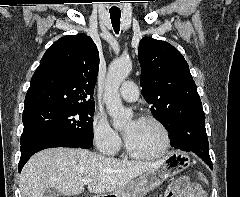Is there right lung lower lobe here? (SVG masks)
I'll return each instance as SVG.
<instances>
[{"mask_svg":"<svg viewBox=\"0 0 240 197\" xmlns=\"http://www.w3.org/2000/svg\"><path fill=\"white\" fill-rule=\"evenodd\" d=\"M20 144L21 158L19 161V172L34 153L43 149L51 147L81 148L72 141L51 134H29L26 136H21Z\"/></svg>","mask_w":240,"mask_h":197,"instance_id":"right-lung-lower-lobe-1","label":"right lung lower lobe"}]
</instances>
